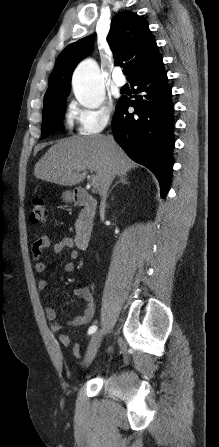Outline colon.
I'll return each instance as SVG.
<instances>
[{
  "label": "colon",
  "mask_w": 219,
  "mask_h": 447,
  "mask_svg": "<svg viewBox=\"0 0 219 447\" xmlns=\"http://www.w3.org/2000/svg\"><path fill=\"white\" fill-rule=\"evenodd\" d=\"M29 218L33 224L43 223L47 220L46 204L42 197L33 199Z\"/></svg>",
  "instance_id": "1"
}]
</instances>
